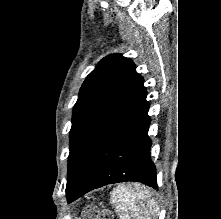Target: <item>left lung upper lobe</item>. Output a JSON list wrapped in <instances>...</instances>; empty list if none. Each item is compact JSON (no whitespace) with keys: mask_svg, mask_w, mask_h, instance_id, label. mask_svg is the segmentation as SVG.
Listing matches in <instances>:
<instances>
[{"mask_svg":"<svg viewBox=\"0 0 221 219\" xmlns=\"http://www.w3.org/2000/svg\"><path fill=\"white\" fill-rule=\"evenodd\" d=\"M134 63L119 54L103 58L82 84L73 108L67 197L112 124L145 90Z\"/></svg>","mask_w":221,"mask_h":219,"instance_id":"1","label":"left lung upper lobe"}]
</instances>
